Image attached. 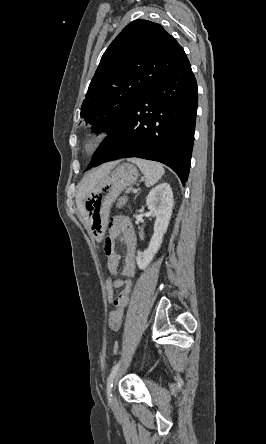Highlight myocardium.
Listing matches in <instances>:
<instances>
[{"instance_id": "obj_1", "label": "myocardium", "mask_w": 266, "mask_h": 444, "mask_svg": "<svg viewBox=\"0 0 266 444\" xmlns=\"http://www.w3.org/2000/svg\"><path fill=\"white\" fill-rule=\"evenodd\" d=\"M106 131H98L90 134L84 143V149L88 153L95 152L107 139Z\"/></svg>"}]
</instances>
